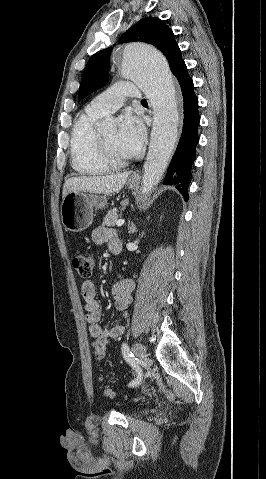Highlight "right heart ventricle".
<instances>
[{
	"label": "right heart ventricle",
	"mask_w": 266,
	"mask_h": 479,
	"mask_svg": "<svg viewBox=\"0 0 266 479\" xmlns=\"http://www.w3.org/2000/svg\"><path fill=\"white\" fill-rule=\"evenodd\" d=\"M101 117L102 115L87 108L73 126L70 139L71 164L81 175H102L111 170L101 159L98 149L95 125Z\"/></svg>",
	"instance_id": "obj_1"
}]
</instances>
